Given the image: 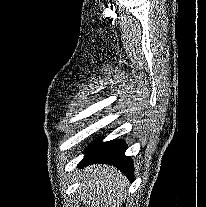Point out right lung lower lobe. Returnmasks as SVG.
Here are the masks:
<instances>
[{"label": "right lung lower lobe", "instance_id": "obj_1", "mask_svg": "<svg viewBox=\"0 0 206 207\" xmlns=\"http://www.w3.org/2000/svg\"><path fill=\"white\" fill-rule=\"evenodd\" d=\"M127 145L121 140L102 142L101 139L94 140L84 151V158L78 167H84L93 163H104L116 166L131 181L134 179L133 162L130 157L125 156Z\"/></svg>", "mask_w": 206, "mask_h": 207}]
</instances>
